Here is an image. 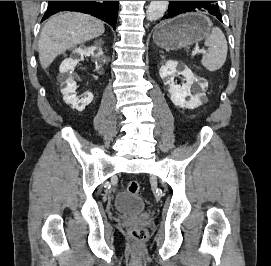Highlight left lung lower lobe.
<instances>
[{
	"instance_id": "1",
	"label": "left lung lower lobe",
	"mask_w": 271,
	"mask_h": 266,
	"mask_svg": "<svg viewBox=\"0 0 271 266\" xmlns=\"http://www.w3.org/2000/svg\"><path fill=\"white\" fill-rule=\"evenodd\" d=\"M196 10L210 13L222 22V15L217 1H169L168 12L163 16V19Z\"/></svg>"
}]
</instances>
